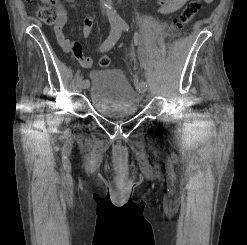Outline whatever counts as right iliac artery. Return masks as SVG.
I'll return each instance as SVG.
<instances>
[{
	"label": "right iliac artery",
	"mask_w": 247,
	"mask_h": 245,
	"mask_svg": "<svg viewBox=\"0 0 247 245\" xmlns=\"http://www.w3.org/2000/svg\"><path fill=\"white\" fill-rule=\"evenodd\" d=\"M121 33H122V29L120 26H113L111 28L109 36L101 45L100 51L105 52V51L110 50L115 45V43L118 41V39L120 38ZM77 83H78V85H81V86L86 85V81L84 80L83 77H80Z\"/></svg>",
	"instance_id": "1"
}]
</instances>
